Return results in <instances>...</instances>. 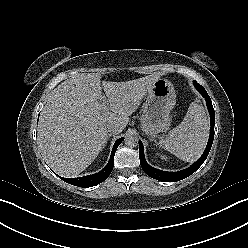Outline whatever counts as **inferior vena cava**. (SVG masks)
<instances>
[{"label":"inferior vena cava","instance_id":"602c4592","mask_svg":"<svg viewBox=\"0 0 248 248\" xmlns=\"http://www.w3.org/2000/svg\"><path fill=\"white\" fill-rule=\"evenodd\" d=\"M106 130L109 136L119 134L122 131L121 128L114 124L107 125Z\"/></svg>","mask_w":248,"mask_h":248}]
</instances>
